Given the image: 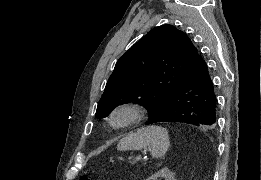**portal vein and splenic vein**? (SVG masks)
I'll return each instance as SVG.
<instances>
[{
    "mask_svg": "<svg viewBox=\"0 0 261 180\" xmlns=\"http://www.w3.org/2000/svg\"><path fill=\"white\" fill-rule=\"evenodd\" d=\"M136 161H141L142 160V155L137 154V156L135 157Z\"/></svg>",
    "mask_w": 261,
    "mask_h": 180,
    "instance_id": "portal-vein-and-splenic-vein-1",
    "label": "portal vein and splenic vein"
}]
</instances>
